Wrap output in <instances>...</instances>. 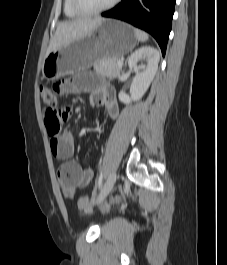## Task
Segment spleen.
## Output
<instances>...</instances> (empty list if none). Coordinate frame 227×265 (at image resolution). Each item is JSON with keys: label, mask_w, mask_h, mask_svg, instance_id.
<instances>
[{"label": "spleen", "mask_w": 227, "mask_h": 265, "mask_svg": "<svg viewBox=\"0 0 227 265\" xmlns=\"http://www.w3.org/2000/svg\"><path fill=\"white\" fill-rule=\"evenodd\" d=\"M135 35H136L137 40L140 42H145L149 38L147 33L139 29H135Z\"/></svg>", "instance_id": "spleen-1"}]
</instances>
